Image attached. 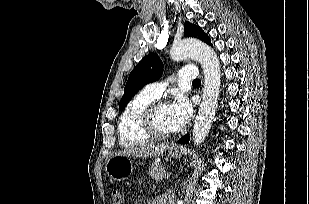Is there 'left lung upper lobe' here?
<instances>
[{"mask_svg":"<svg viewBox=\"0 0 309 204\" xmlns=\"http://www.w3.org/2000/svg\"><path fill=\"white\" fill-rule=\"evenodd\" d=\"M184 31L185 37H195L212 46L209 36L199 26L186 21ZM162 73L163 63L159 56L155 53L145 56L129 75L119 109L123 110L138 90L146 84L158 80Z\"/></svg>","mask_w":309,"mask_h":204,"instance_id":"obj_1","label":"left lung upper lobe"}]
</instances>
